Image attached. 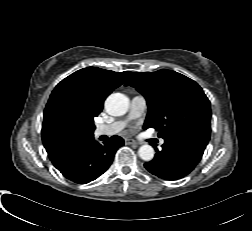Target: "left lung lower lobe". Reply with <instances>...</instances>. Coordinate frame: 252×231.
Returning <instances> with one entry per match:
<instances>
[{
  "label": "left lung lower lobe",
  "instance_id": "1",
  "mask_svg": "<svg viewBox=\"0 0 252 231\" xmlns=\"http://www.w3.org/2000/svg\"><path fill=\"white\" fill-rule=\"evenodd\" d=\"M162 150H156L154 159L144 164L152 174L167 180H176L189 174L200 161L210 135L198 131L174 133L163 138Z\"/></svg>",
  "mask_w": 252,
  "mask_h": 231
}]
</instances>
